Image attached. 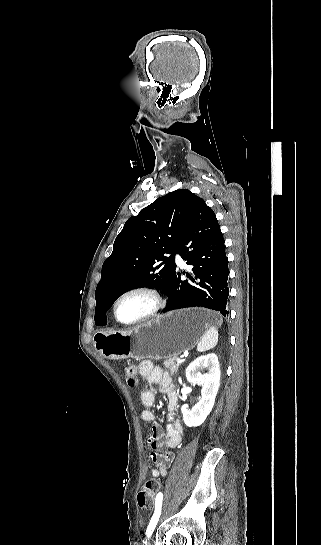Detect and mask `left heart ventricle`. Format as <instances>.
<instances>
[{
	"mask_svg": "<svg viewBox=\"0 0 321 545\" xmlns=\"http://www.w3.org/2000/svg\"><path fill=\"white\" fill-rule=\"evenodd\" d=\"M152 299L143 294H134L125 297L117 307L119 318L124 322L135 321L146 315L152 308Z\"/></svg>",
	"mask_w": 321,
	"mask_h": 545,
	"instance_id": "b2bd125f",
	"label": "left heart ventricle"
}]
</instances>
